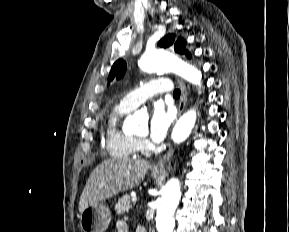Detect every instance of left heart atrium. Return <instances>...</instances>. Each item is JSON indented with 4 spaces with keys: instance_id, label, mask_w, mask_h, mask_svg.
Wrapping results in <instances>:
<instances>
[{
    "instance_id": "1",
    "label": "left heart atrium",
    "mask_w": 289,
    "mask_h": 232,
    "mask_svg": "<svg viewBox=\"0 0 289 232\" xmlns=\"http://www.w3.org/2000/svg\"><path fill=\"white\" fill-rule=\"evenodd\" d=\"M174 115L171 111H167L161 104H155L149 121V135L153 142L160 143L164 140Z\"/></svg>"
}]
</instances>
